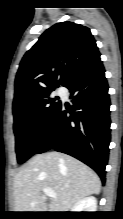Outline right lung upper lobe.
Wrapping results in <instances>:
<instances>
[{"instance_id":"obj_1","label":"right lung upper lobe","mask_w":123,"mask_h":219,"mask_svg":"<svg viewBox=\"0 0 123 219\" xmlns=\"http://www.w3.org/2000/svg\"><path fill=\"white\" fill-rule=\"evenodd\" d=\"M99 57L89 28L69 21L53 25L22 58L13 104L60 84L64 86Z\"/></svg>"}]
</instances>
